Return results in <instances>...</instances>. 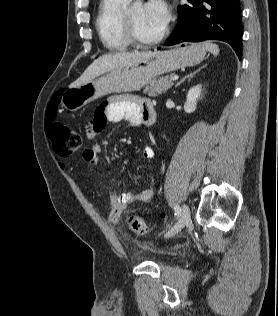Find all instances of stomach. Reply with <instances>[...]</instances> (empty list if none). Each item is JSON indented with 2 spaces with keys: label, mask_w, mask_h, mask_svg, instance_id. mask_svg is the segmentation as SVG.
I'll return each instance as SVG.
<instances>
[{
  "label": "stomach",
  "mask_w": 278,
  "mask_h": 316,
  "mask_svg": "<svg viewBox=\"0 0 278 316\" xmlns=\"http://www.w3.org/2000/svg\"><path fill=\"white\" fill-rule=\"evenodd\" d=\"M205 54V47L199 44L159 52L137 64L119 68L88 83L65 90L61 95V105L74 112L99 97L140 90L159 75L200 62Z\"/></svg>",
  "instance_id": "0dacf381"
}]
</instances>
